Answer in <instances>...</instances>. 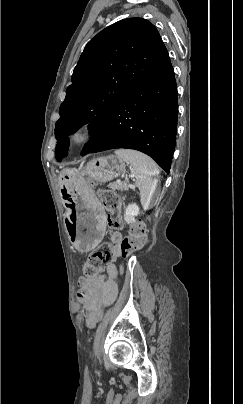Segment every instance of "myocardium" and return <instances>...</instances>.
<instances>
[{
    "instance_id": "myocardium-1",
    "label": "myocardium",
    "mask_w": 243,
    "mask_h": 404,
    "mask_svg": "<svg viewBox=\"0 0 243 404\" xmlns=\"http://www.w3.org/2000/svg\"><path fill=\"white\" fill-rule=\"evenodd\" d=\"M93 138V128L89 123L79 122L70 126L65 132V141L73 147H82Z\"/></svg>"
}]
</instances>
